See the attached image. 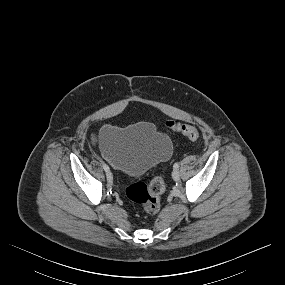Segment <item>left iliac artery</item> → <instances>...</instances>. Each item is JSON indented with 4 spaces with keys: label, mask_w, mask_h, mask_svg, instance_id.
Instances as JSON below:
<instances>
[{
    "label": "left iliac artery",
    "mask_w": 285,
    "mask_h": 285,
    "mask_svg": "<svg viewBox=\"0 0 285 285\" xmlns=\"http://www.w3.org/2000/svg\"><path fill=\"white\" fill-rule=\"evenodd\" d=\"M173 168H174V169H178V168H179V163H175V164L173 165Z\"/></svg>",
    "instance_id": "1"
}]
</instances>
